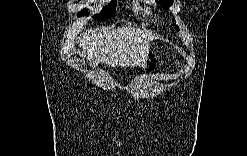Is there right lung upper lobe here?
<instances>
[{
    "label": "right lung upper lobe",
    "mask_w": 247,
    "mask_h": 156,
    "mask_svg": "<svg viewBox=\"0 0 247 156\" xmlns=\"http://www.w3.org/2000/svg\"><path fill=\"white\" fill-rule=\"evenodd\" d=\"M111 2H116L115 0H112Z\"/></svg>",
    "instance_id": "cb5924a9"
}]
</instances>
